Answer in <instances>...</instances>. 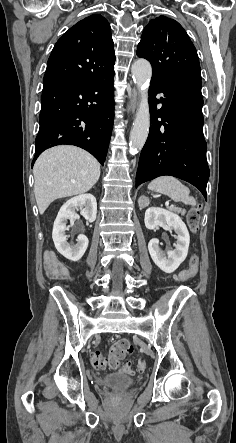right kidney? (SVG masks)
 Returning a JSON list of instances; mask_svg holds the SVG:
<instances>
[{"mask_svg": "<svg viewBox=\"0 0 236 443\" xmlns=\"http://www.w3.org/2000/svg\"><path fill=\"white\" fill-rule=\"evenodd\" d=\"M80 209L81 214L88 222H94L97 214L96 198L91 194H82L69 199L59 210L55 219L52 231V238L56 249L65 258L71 261H78L84 255L88 247V238L80 234L77 237V244L70 245L65 231L68 229L67 220H74L77 216L76 210Z\"/></svg>", "mask_w": 236, "mask_h": 443, "instance_id": "right-kidney-1", "label": "right kidney"}]
</instances>
